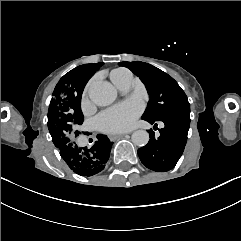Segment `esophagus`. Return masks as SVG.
<instances>
[{
  "instance_id": "esophagus-1",
  "label": "esophagus",
  "mask_w": 241,
  "mask_h": 241,
  "mask_svg": "<svg viewBox=\"0 0 241 241\" xmlns=\"http://www.w3.org/2000/svg\"><path fill=\"white\" fill-rule=\"evenodd\" d=\"M125 136V134H109L108 135V138L111 140V141H115V140H117V139H119V138H122V137H124Z\"/></svg>"
}]
</instances>
